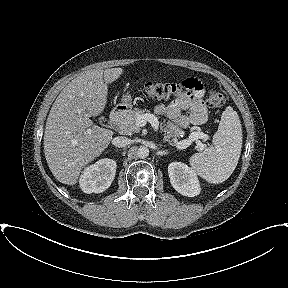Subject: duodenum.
Returning a JSON list of instances; mask_svg holds the SVG:
<instances>
[{
  "label": "duodenum",
  "mask_w": 288,
  "mask_h": 288,
  "mask_svg": "<svg viewBox=\"0 0 288 288\" xmlns=\"http://www.w3.org/2000/svg\"><path fill=\"white\" fill-rule=\"evenodd\" d=\"M124 113H125V109L123 107H117L113 109L109 117L110 125L115 126L120 121Z\"/></svg>",
  "instance_id": "1"
}]
</instances>
